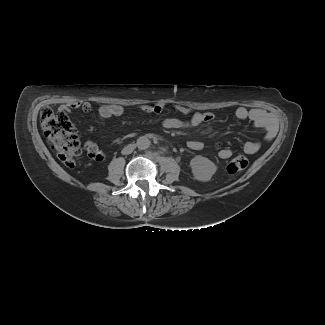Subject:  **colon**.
<instances>
[{"label":"colon","instance_id":"1","mask_svg":"<svg viewBox=\"0 0 325 325\" xmlns=\"http://www.w3.org/2000/svg\"><path fill=\"white\" fill-rule=\"evenodd\" d=\"M40 123L49 145L55 151L59 160L67 167H73L81 155L77 134L67 131L59 117L49 107L41 109ZM247 166L248 159L244 155H239L229 162L227 170L229 173L235 174L244 170Z\"/></svg>","mask_w":325,"mask_h":325}]
</instances>
